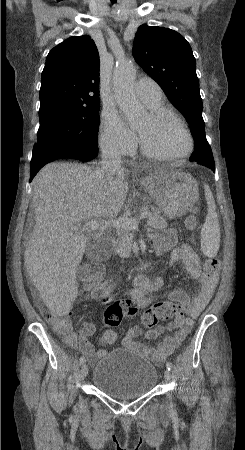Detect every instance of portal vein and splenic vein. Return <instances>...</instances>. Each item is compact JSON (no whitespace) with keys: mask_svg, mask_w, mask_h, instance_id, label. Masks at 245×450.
I'll list each match as a JSON object with an SVG mask.
<instances>
[{"mask_svg":"<svg viewBox=\"0 0 245 450\" xmlns=\"http://www.w3.org/2000/svg\"><path fill=\"white\" fill-rule=\"evenodd\" d=\"M149 216L148 212H142L138 218H128L121 217L118 219L110 220H91L86 222L84 225H73L71 226V231L78 232L79 230H97L99 228H106L108 226L114 228H121L125 230H136L138 229V221L145 219Z\"/></svg>","mask_w":245,"mask_h":450,"instance_id":"obj_1","label":"portal vein and splenic vein"}]
</instances>
